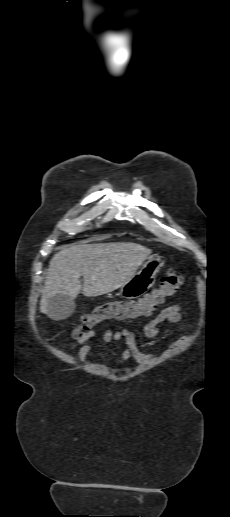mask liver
Segmentation results:
<instances>
[{
  "label": "liver",
  "instance_id": "6515ba94",
  "mask_svg": "<svg viewBox=\"0 0 230 517\" xmlns=\"http://www.w3.org/2000/svg\"><path fill=\"white\" fill-rule=\"evenodd\" d=\"M150 254V249L136 243L66 246L50 261L40 311L47 314L49 300L58 294L74 300L81 290L84 296L95 297L118 289L133 277Z\"/></svg>",
  "mask_w": 230,
  "mask_h": 517
}]
</instances>
